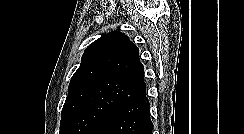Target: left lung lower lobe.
<instances>
[{"label": "left lung lower lobe", "mask_w": 244, "mask_h": 134, "mask_svg": "<svg viewBox=\"0 0 244 134\" xmlns=\"http://www.w3.org/2000/svg\"><path fill=\"white\" fill-rule=\"evenodd\" d=\"M150 104L146 93L117 108L100 126L96 134H152Z\"/></svg>", "instance_id": "left-lung-lower-lobe-1"}]
</instances>
